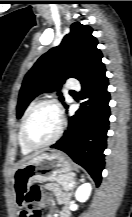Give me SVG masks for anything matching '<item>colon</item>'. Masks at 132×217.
Listing matches in <instances>:
<instances>
[{"instance_id": "1", "label": "colon", "mask_w": 132, "mask_h": 217, "mask_svg": "<svg viewBox=\"0 0 132 217\" xmlns=\"http://www.w3.org/2000/svg\"><path fill=\"white\" fill-rule=\"evenodd\" d=\"M40 198H41V191L39 186L32 185L26 190L25 201L28 204L30 205L36 204L37 202H39ZM29 217H41L40 210L37 208H32Z\"/></svg>"}]
</instances>
